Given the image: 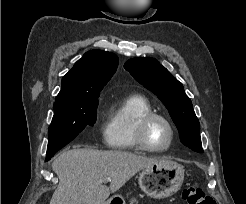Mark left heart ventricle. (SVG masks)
I'll list each match as a JSON object with an SVG mask.
<instances>
[{
  "label": "left heart ventricle",
  "mask_w": 246,
  "mask_h": 204,
  "mask_svg": "<svg viewBox=\"0 0 246 204\" xmlns=\"http://www.w3.org/2000/svg\"><path fill=\"white\" fill-rule=\"evenodd\" d=\"M170 138L168 127L160 120H155L148 130V141L154 147H164Z\"/></svg>",
  "instance_id": "1"
}]
</instances>
